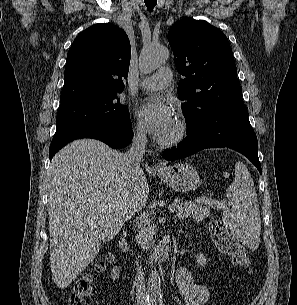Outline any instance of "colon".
Instances as JSON below:
<instances>
[{"mask_svg": "<svg viewBox=\"0 0 297 305\" xmlns=\"http://www.w3.org/2000/svg\"><path fill=\"white\" fill-rule=\"evenodd\" d=\"M211 239L218 250L230 261L244 269H251L252 259L240 241L225 227L219 218L209 223ZM105 270L103 263H97L90 272L78 279L74 284L73 293L68 305H89L95 294L93 280Z\"/></svg>", "mask_w": 297, "mask_h": 305, "instance_id": "obj_1", "label": "colon"}]
</instances>
